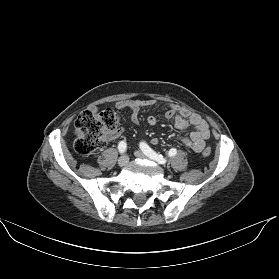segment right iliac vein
Returning a JSON list of instances; mask_svg holds the SVG:
<instances>
[{"mask_svg":"<svg viewBox=\"0 0 279 279\" xmlns=\"http://www.w3.org/2000/svg\"><path fill=\"white\" fill-rule=\"evenodd\" d=\"M127 163H128V156H127V155L121 156V157L119 158V160H118V164H119V166H121V167L127 165Z\"/></svg>","mask_w":279,"mask_h":279,"instance_id":"1","label":"right iliac vein"}]
</instances>
